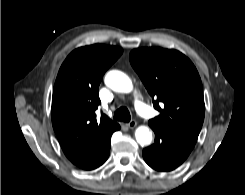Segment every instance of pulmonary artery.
Listing matches in <instances>:
<instances>
[{
	"label": "pulmonary artery",
	"instance_id": "e3ab8cb5",
	"mask_svg": "<svg viewBox=\"0 0 245 195\" xmlns=\"http://www.w3.org/2000/svg\"><path fill=\"white\" fill-rule=\"evenodd\" d=\"M135 108L137 112L145 118H152L154 116V111L139 100L135 101Z\"/></svg>",
	"mask_w": 245,
	"mask_h": 195
}]
</instances>
